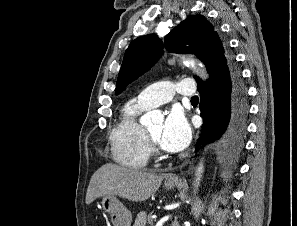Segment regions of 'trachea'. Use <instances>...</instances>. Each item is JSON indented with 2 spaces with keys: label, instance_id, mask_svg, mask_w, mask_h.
I'll use <instances>...</instances> for the list:
<instances>
[{
  "label": "trachea",
  "instance_id": "trachea-1",
  "mask_svg": "<svg viewBox=\"0 0 297 226\" xmlns=\"http://www.w3.org/2000/svg\"><path fill=\"white\" fill-rule=\"evenodd\" d=\"M198 101H199L198 96H194L191 98V102H198Z\"/></svg>",
  "mask_w": 297,
  "mask_h": 226
}]
</instances>
